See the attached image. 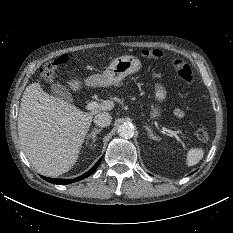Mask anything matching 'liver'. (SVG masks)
I'll return each instance as SVG.
<instances>
[{
  "label": "liver",
  "mask_w": 233,
  "mask_h": 233,
  "mask_svg": "<svg viewBox=\"0 0 233 233\" xmlns=\"http://www.w3.org/2000/svg\"><path fill=\"white\" fill-rule=\"evenodd\" d=\"M68 84L75 92L82 88L78 79ZM113 107V101L104 100L98 111L83 112L49 95L39 83L30 84L22 95L18 115V134L26 157L40 174L68 172L78 159L93 116Z\"/></svg>",
  "instance_id": "1"
}]
</instances>
